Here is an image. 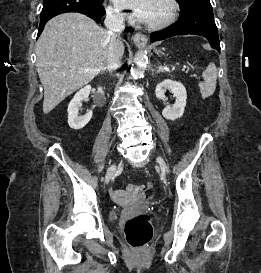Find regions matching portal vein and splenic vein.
I'll return each instance as SVG.
<instances>
[{
  "label": "portal vein and splenic vein",
  "instance_id": "portal-vein-and-splenic-vein-1",
  "mask_svg": "<svg viewBox=\"0 0 261 273\" xmlns=\"http://www.w3.org/2000/svg\"><path fill=\"white\" fill-rule=\"evenodd\" d=\"M185 69H186V67L184 66V67H183V70H185ZM85 71L88 72V71H90V70H89V69H85ZM186 72H187V71H186ZM194 77H195L196 79H199L196 75H194Z\"/></svg>",
  "mask_w": 261,
  "mask_h": 273
}]
</instances>
